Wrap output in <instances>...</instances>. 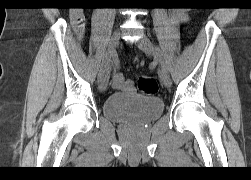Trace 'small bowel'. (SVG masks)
<instances>
[{
  "label": "small bowel",
  "mask_w": 251,
  "mask_h": 180,
  "mask_svg": "<svg viewBox=\"0 0 251 180\" xmlns=\"http://www.w3.org/2000/svg\"><path fill=\"white\" fill-rule=\"evenodd\" d=\"M174 15L176 19L181 22H186L188 20V15L183 10L175 11ZM71 23L77 38L82 40L85 30V18L83 13L78 10L73 11L71 13ZM113 85L116 89L125 92H132L134 90L133 84L118 73L113 76Z\"/></svg>",
  "instance_id": "small-bowel-1"
}]
</instances>
